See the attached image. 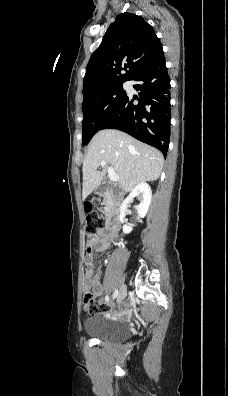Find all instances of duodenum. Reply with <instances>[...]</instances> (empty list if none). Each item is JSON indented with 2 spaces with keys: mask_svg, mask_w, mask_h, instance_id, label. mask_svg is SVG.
I'll return each instance as SVG.
<instances>
[{
  "mask_svg": "<svg viewBox=\"0 0 228 396\" xmlns=\"http://www.w3.org/2000/svg\"><path fill=\"white\" fill-rule=\"evenodd\" d=\"M100 195L109 197V210L107 217V229L116 233L120 228V207L122 194L110 186L101 185L98 191Z\"/></svg>",
  "mask_w": 228,
  "mask_h": 396,
  "instance_id": "1",
  "label": "duodenum"
}]
</instances>
